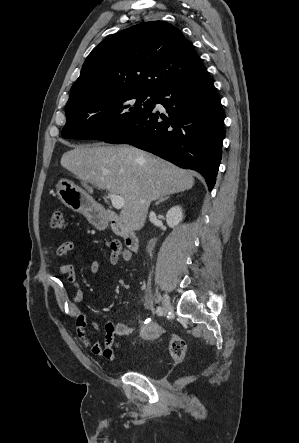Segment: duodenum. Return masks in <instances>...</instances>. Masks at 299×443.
<instances>
[{"label":"duodenum","instance_id":"obj_1","mask_svg":"<svg viewBox=\"0 0 299 443\" xmlns=\"http://www.w3.org/2000/svg\"><path fill=\"white\" fill-rule=\"evenodd\" d=\"M99 225L109 226L114 233L121 236L124 240L126 247L137 253L140 249V241L138 236L132 231L129 227H127L117 215L112 212L105 210L102 214V220L98 221Z\"/></svg>","mask_w":299,"mask_h":443}]
</instances>
